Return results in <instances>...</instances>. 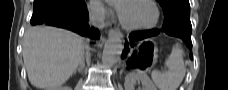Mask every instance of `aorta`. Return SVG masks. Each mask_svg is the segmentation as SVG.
<instances>
[{
	"label": "aorta",
	"mask_w": 228,
	"mask_h": 90,
	"mask_svg": "<svg viewBox=\"0 0 228 90\" xmlns=\"http://www.w3.org/2000/svg\"><path fill=\"white\" fill-rule=\"evenodd\" d=\"M122 53V41L120 35L110 36L105 43L102 63L106 66H112L116 64Z\"/></svg>",
	"instance_id": "aorta-1"
}]
</instances>
